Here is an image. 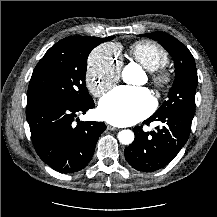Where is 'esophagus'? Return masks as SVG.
<instances>
[{
	"mask_svg": "<svg viewBox=\"0 0 217 217\" xmlns=\"http://www.w3.org/2000/svg\"><path fill=\"white\" fill-rule=\"evenodd\" d=\"M107 129L110 130V131H116L117 130L116 127H113L111 125H107Z\"/></svg>",
	"mask_w": 217,
	"mask_h": 217,
	"instance_id": "1",
	"label": "esophagus"
}]
</instances>
